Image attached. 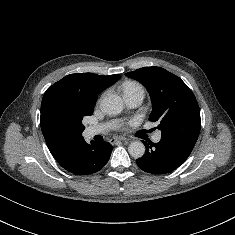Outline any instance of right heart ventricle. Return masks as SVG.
I'll use <instances>...</instances> for the list:
<instances>
[{
    "mask_svg": "<svg viewBox=\"0 0 235 235\" xmlns=\"http://www.w3.org/2000/svg\"><path fill=\"white\" fill-rule=\"evenodd\" d=\"M137 86H140V85L137 84V83H135V82H129V83H126V84H125L124 90L129 89V88H132V87H137Z\"/></svg>",
    "mask_w": 235,
    "mask_h": 235,
    "instance_id": "1",
    "label": "right heart ventricle"
}]
</instances>
